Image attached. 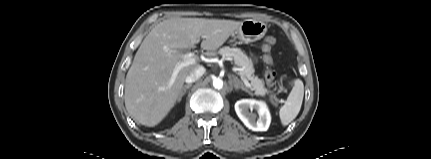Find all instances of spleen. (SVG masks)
Here are the masks:
<instances>
[{"mask_svg": "<svg viewBox=\"0 0 431 159\" xmlns=\"http://www.w3.org/2000/svg\"><path fill=\"white\" fill-rule=\"evenodd\" d=\"M304 97V85L300 79L294 81V86L285 104L280 108L279 116L282 125L291 123L298 115Z\"/></svg>", "mask_w": 431, "mask_h": 159, "instance_id": "1", "label": "spleen"}]
</instances>
